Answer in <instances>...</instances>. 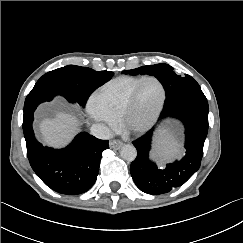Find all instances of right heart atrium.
Instances as JSON below:
<instances>
[{"label":"right heart atrium","instance_id":"d8ad5b80","mask_svg":"<svg viewBox=\"0 0 243 243\" xmlns=\"http://www.w3.org/2000/svg\"><path fill=\"white\" fill-rule=\"evenodd\" d=\"M87 114L91 120L101 124L106 132L113 131L117 127V120L102 110L93 97L88 102Z\"/></svg>","mask_w":243,"mask_h":243}]
</instances>
